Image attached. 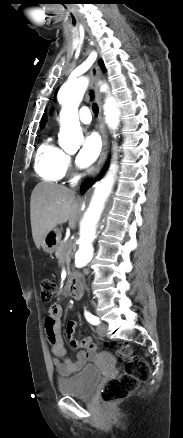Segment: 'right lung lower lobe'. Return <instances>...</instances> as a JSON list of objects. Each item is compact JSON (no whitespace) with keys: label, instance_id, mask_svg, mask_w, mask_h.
I'll return each mask as SVG.
<instances>
[{"label":"right lung lower lobe","instance_id":"1","mask_svg":"<svg viewBox=\"0 0 183 438\" xmlns=\"http://www.w3.org/2000/svg\"><path fill=\"white\" fill-rule=\"evenodd\" d=\"M106 168H107V164H106V166H105V168H104V170L102 171V173L97 177V179L95 180V181H97L98 179H100L102 176H103V174H104V172H105V170H106ZM94 181V182H95ZM92 184H90V183H88L87 181L86 182H84L82 185H81V193L83 194L90 186H91Z\"/></svg>","mask_w":183,"mask_h":438}]
</instances>
